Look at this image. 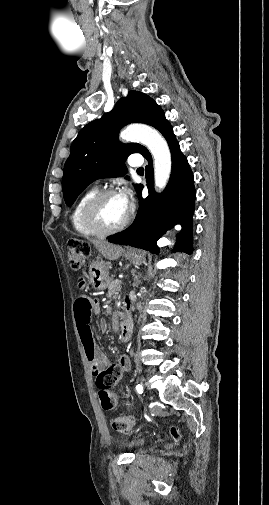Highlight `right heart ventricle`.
<instances>
[{
    "instance_id": "obj_1",
    "label": "right heart ventricle",
    "mask_w": 269,
    "mask_h": 505,
    "mask_svg": "<svg viewBox=\"0 0 269 505\" xmlns=\"http://www.w3.org/2000/svg\"><path fill=\"white\" fill-rule=\"evenodd\" d=\"M97 188H91L87 190L75 203L71 214H70V222L73 230L80 236L83 237H93L98 234L92 231L83 220V209L88 200L97 193Z\"/></svg>"
}]
</instances>
